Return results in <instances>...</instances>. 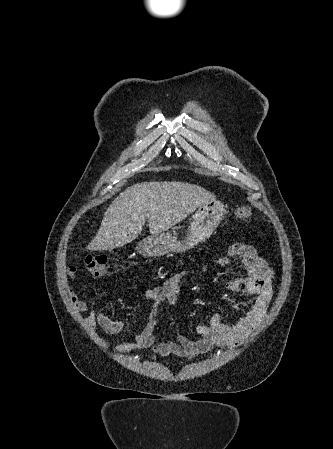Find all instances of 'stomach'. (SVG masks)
<instances>
[{"instance_id":"0dacf381","label":"stomach","mask_w":333,"mask_h":449,"mask_svg":"<svg viewBox=\"0 0 333 449\" xmlns=\"http://www.w3.org/2000/svg\"><path fill=\"white\" fill-rule=\"evenodd\" d=\"M226 214L224 205L211 200L200 206L193 216L186 238L179 241L172 233H162L141 241L136 249L144 256H162L170 252H184L210 237Z\"/></svg>"}]
</instances>
